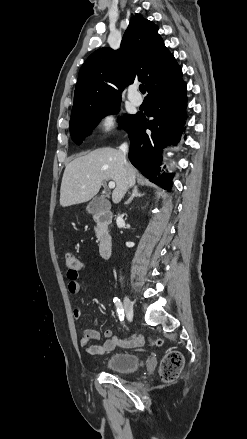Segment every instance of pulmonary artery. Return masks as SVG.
I'll return each mask as SVG.
<instances>
[{
	"label": "pulmonary artery",
	"instance_id": "e3ab8cb5",
	"mask_svg": "<svg viewBox=\"0 0 247 439\" xmlns=\"http://www.w3.org/2000/svg\"><path fill=\"white\" fill-rule=\"evenodd\" d=\"M128 98L136 106L142 104V98L139 95H137L133 89L129 91Z\"/></svg>",
	"mask_w": 247,
	"mask_h": 439
}]
</instances>
